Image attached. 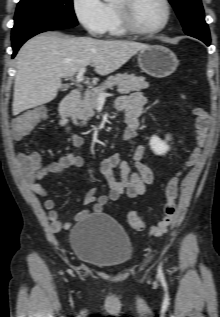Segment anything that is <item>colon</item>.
<instances>
[{
    "mask_svg": "<svg viewBox=\"0 0 220 317\" xmlns=\"http://www.w3.org/2000/svg\"><path fill=\"white\" fill-rule=\"evenodd\" d=\"M193 113L196 116V130L194 136V147L192 148L186 165L192 164L198 157L201 147L204 144L206 134L208 131L210 118L208 113L201 107L193 108ZM45 117V110L43 108H35L26 111L16 116L11 123L13 136L15 139H21L26 136L34 126ZM27 162L33 166H38L39 158L33 154H26ZM181 171L176 172L170 177L164 189L165 203L163 206L164 216L157 226L150 229L152 235H160L168 228L172 227L177 220V205L176 199L178 195V181ZM128 223L131 227L138 231L145 229V222L136 211H130L127 215Z\"/></svg>",
    "mask_w": 220,
    "mask_h": 317,
    "instance_id": "1",
    "label": "colon"
}]
</instances>
